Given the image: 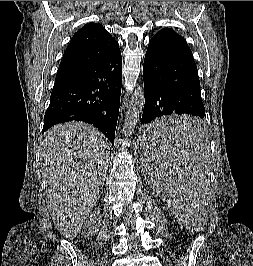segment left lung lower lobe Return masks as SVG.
<instances>
[{
    "label": "left lung lower lobe",
    "mask_w": 253,
    "mask_h": 266,
    "mask_svg": "<svg viewBox=\"0 0 253 266\" xmlns=\"http://www.w3.org/2000/svg\"><path fill=\"white\" fill-rule=\"evenodd\" d=\"M143 76V135L152 141L197 136L205 108L198 70L186 40L170 28L160 30L149 42ZM173 114L197 118L172 123L158 120Z\"/></svg>",
    "instance_id": "1"
}]
</instances>
